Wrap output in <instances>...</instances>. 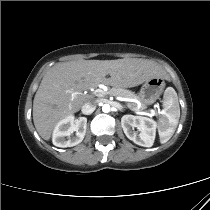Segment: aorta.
I'll return each mask as SVG.
<instances>
[{
    "label": "aorta",
    "mask_w": 210,
    "mask_h": 210,
    "mask_svg": "<svg viewBox=\"0 0 210 210\" xmlns=\"http://www.w3.org/2000/svg\"><path fill=\"white\" fill-rule=\"evenodd\" d=\"M111 108H110V105L109 104H104L102 106V111L105 112V113H108L110 112Z\"/></svg>",
    "instance_id": "762f6f07"
}]
</instances>
